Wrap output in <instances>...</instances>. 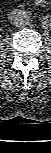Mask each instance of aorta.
<instances>
[{
    "label": "aorta",
    "mask_w": 51,
    "mask_h": 153,
    "mask_svg": "<svg viewBox=\"0 0 51 153\" xmlns=\"http://www.w3.org/2000/svg\"><path fill=\"white\" fill-rule=\"evenodd\" d=\"M43 30L46 32H51V16L45 15L42 21Z\"/></svg>",
    "instance_id": "762f6f07"
}]
</instances>
